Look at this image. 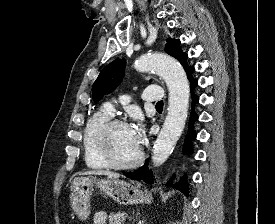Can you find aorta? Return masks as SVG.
<instances>
[{
    "mask_svg": "<svg viewBox=\"0 0 275 224\" xmlns=\"http://www.w3.org/2000/svg\"><path fill=\"white\" fill-rule=\"evenodd\" d=\"M135 68L155 71L165 80L169 90L168 113L152 150V162L159 166L170 156L184 129L189 107V83L183 67L167 55L141 56L135 61Z\"/></svg>",
    "mask_w": 275,
    "mask_h": 224,
    "instance_id": "obj_1",
    "label": "aorta"
}]
</instances>
